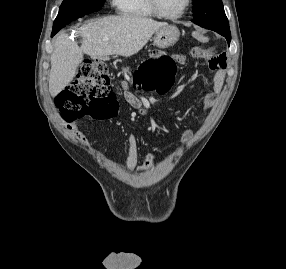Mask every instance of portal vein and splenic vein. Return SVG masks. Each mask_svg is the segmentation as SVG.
Listing matches in <instances>:
<instances>
[{"instance_id":"obj_1","label":"portal vein and splenic vein","mask_w":286,"mask_h":269,"mask_svg":"<svg viewBox=\"0 0 286 269\" xmlns=\"http://www.w3.org/2000/svg\"><path fill=\"white\" fill-rule=\"evenodd\" d=\"M103 40H104V41H107V40H108V38H104Z\"/></svg>"}]
</instances>
